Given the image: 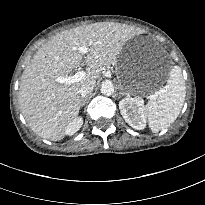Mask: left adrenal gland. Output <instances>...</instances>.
Instances as JSON below:
<instances>
[{"mask_svg":"<svg viewBox=\"0 0 205 205\" xmlns=\"http://www.w3.org/2000/svg\"><path fill=\"white\" fill-rule=\"evenodd\" d=\"M126 95V93L123 91L122 86H120V91H119V97Z\"/></svg>","mask_w":205,"mask_h":205,"instance_id":"obj_1","label":"left adrenal gland"}]
</instances>
